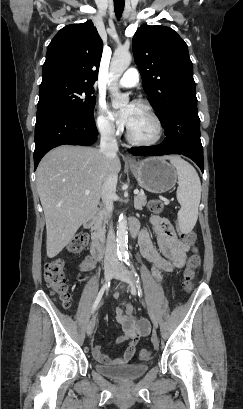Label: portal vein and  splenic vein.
<instances>
[{
  "label": "portal vein and splenic vein",
  "instance_id": "obj_1",
  "mask_svg": "<svg viewBox=\"0 0 243 409\" xmlns=\"http://www.w3.org/2000/svg\"><path fill=\"white\" fill-rule=\"evenodd\" d=\"M138 193H139L138 190H135V191H134V194L137 195ZM85 194H86V195H89V194H90V191H89V190H86V191H85Z\"/></svg>",
  "mask_w": 243,
  "mask_h": 409
}]
</instances>
